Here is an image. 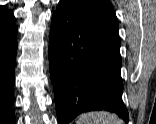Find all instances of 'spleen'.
Instances as JSON below:
<instances>
[{"instance_id": "spleen-1", "label": "spleen", "mask_w": 156, "mask_h": 124, "mask_svg": "<svg viewBox=\"0 0 156 124\" xmlns=\"http://www.w3.org/2000/svg\"><path fill=\"white\" fill-rule=\"evenodd\" d=\"M76 124H124V122L113 113L98 111L82 114Z\"/></svg>"}]
</instances>
